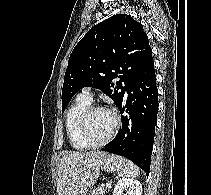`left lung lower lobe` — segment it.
Listing matches in <instances>:
<instances>
[{
    "instance_id": "obj_1",
    "label": "left lung lower lobe",
    "mask_w": 211,
    "mask_h": 195,
    "mask_svg": "<svg viewBox=\"0 0 211 195\" xmlns=\"http://www.w3.org/2000/svg\"><path fill=\"white\" fill-rule=\"evenodd\" d=\"M127 95L118 107L122 114V128L102 150L128 158L148 175L158 112L153 59L135 76Z\"/></svg>"
}]
</instances>
